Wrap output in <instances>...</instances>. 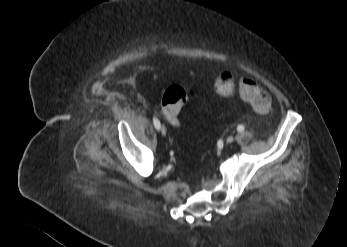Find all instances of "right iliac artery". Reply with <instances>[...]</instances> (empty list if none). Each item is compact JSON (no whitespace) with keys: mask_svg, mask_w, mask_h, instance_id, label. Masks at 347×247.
I'll return each mask as SVG.
<instances>
[{"mask_svg":"<svg viewBox=\"0 0 347 247\" xmlns=\"http://www.w3.org/2000/svg\"><path fill=\"white\" fill-rule=\"evenodd\" d=\"M153 124L157 130L160 129V127H161L160 121L156 117L153 118Z\"/></svg>","mask_w":347,"mask_h":247,"instance_id":"1","label":"right iliac artery"}]
</instances>
